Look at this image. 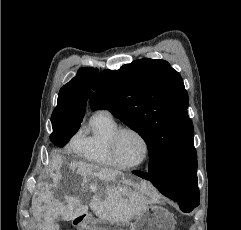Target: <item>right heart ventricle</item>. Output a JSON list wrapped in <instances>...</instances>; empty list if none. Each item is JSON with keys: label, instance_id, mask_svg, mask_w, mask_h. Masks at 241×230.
<instances>
[{"label": "right heart ventricle", "instance_id": "obj_1", "mask_svg": "<svg viewBox=\"0 0 241 230\" xmlns=\"http://www.w3.org/2000/svg\"><path fill=\"white\" fill-rule=\"evenodd\" d=\"M119 127L118 122L107 111H98L90 119L87 132L82 136V142L76 150L84 160L107 166H115L109 154V139Z\"/></svg>", "mask_w": 241, "mask_h": 230}]
</instances>
